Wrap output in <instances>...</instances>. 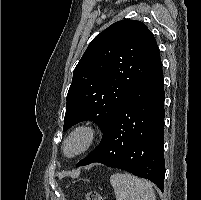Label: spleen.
Instances as JSON below:
<instances>
[{
    "instance_id": "1",
    "label": "spleen",
    "mask_w": 201,
    "mask_h": 200,
    "mask_svg": "<svg viewBox=\"0 0 201 200\" xmlns=\"http://www.w3.org/2000/svg\"><path fill=\"white\" fill-rule=\"evenodd\" d=\"M117 200H155L150 182L129 173H114L110 176Z\"/></svg>"
}]
</instances>
